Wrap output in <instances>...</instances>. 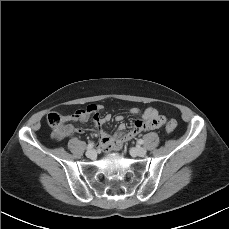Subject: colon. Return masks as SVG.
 Masks as SVG:
<instances>
[{
    "label": "colon",
    "mask_w": 229,
    "mask_h": 229,
    "mask_svg": "<svg viewBox=\"0 0 229 229\" xmlns=\"http://www.w3.org/2000/svg\"><path fill=\"white\" fill-rule=\"evenodd\" d=\"M97 111V107L95 105H89L84 112L87 114H92ZM150 118H149V126L150 127H156L162 124L163 117L158 115V113L155 110L150 111ZM47 121L50 127L54 130L55 135L57 137H63L66 130L67 125L62 122L60 115L55 112L51 111L47 116ZM177 123L174 120H170L166 123L165 128L168 132H172L176 129Z\"/></svg>",
    "instance_id": "colon-1"
}]
</instances>
